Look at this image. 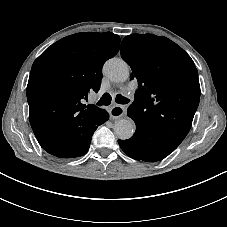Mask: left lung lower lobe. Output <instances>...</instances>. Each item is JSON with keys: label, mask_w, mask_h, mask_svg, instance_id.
<instances>
[{"label": "left lung lower lobe", "mask_w": 227, "mask_h": 227, "mask_svg": "<svg viewBox=\"0 0 227 227\" xmlns=\"http://www.w3.org/2000/svg\"><path fill=\"white\" fill-rule=\"evenodd\" d=\"M121 149L131 158L143 160L147 162H155L162 160L168 156L172 149L165 147L148 137L141 130H137L135 134L128 140H118Z\"/></svg>", "instance_id": "0a47b994"}]
</instances>
